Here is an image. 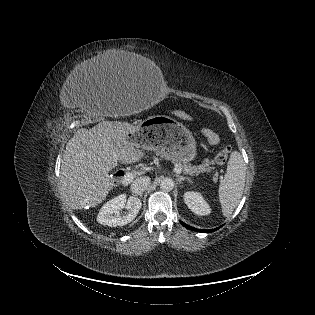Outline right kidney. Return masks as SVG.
I'll list each match as a JSON object with an SVG mask.
<instances>
[{
    "label": "right kidney",
    "mask_w": 315,
    "mask_h": 315,
    "mask_svg": "<svg viewBox=\"0 0 315 315\" xmlns=\"http://www.w3.org/2000/svg\"><path fill=\"white\" fill-rule=\"evenodd\" d=\"M141 206L140 199L135 197L126 199V195L121 194L102 206L97 221L102 225L111 227L124 226L135 219ZM124 208L127 212L122 214L121 211Z\"/></svg>",
    "instance_id": "ca27d5eb"
}]
</instances>
